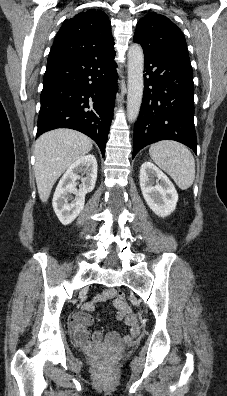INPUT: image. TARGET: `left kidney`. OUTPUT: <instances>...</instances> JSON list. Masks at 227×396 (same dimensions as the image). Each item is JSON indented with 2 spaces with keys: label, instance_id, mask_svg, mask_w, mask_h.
<instances>
[{
  "label": "left kidney",
  "instance_id": "left-kidney-1",
  "mask_svg": "<svg viewBox=\"0 0 227 396\" xmlns=\"http://www.w3.org/2000/svg\"><path fill=\"white\" fill-rule=\"evenodd\" d=\"M140 187L150 209L159 217L170 215L176 208L178 194L173 183L155 164L146 161L140 168Z\"/></svg>",
  "mask_w": 227,
  "mask_h": 396
}]
</instances>
